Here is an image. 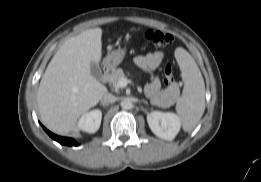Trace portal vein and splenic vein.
I'll return each instance as SVG.
<instances>
[{
  "label": "portal vein and splenic vein",
  "mask_w": 261,
  "mask_h": 182,
  "mask_svg": "<svg viewBox=\"0 0 261 182\" xmlns=\"http://www.w3.org/2000/svg\"><path fill=\"white\" fill-rule=\"evenodd\" d=\"M128 84V81L126 78H121L118 83H117V86L118 88H125Z\"/></svg>",
  "instance_id": "portal-vein-and-splenic-vein-1"
}]
</instances>
